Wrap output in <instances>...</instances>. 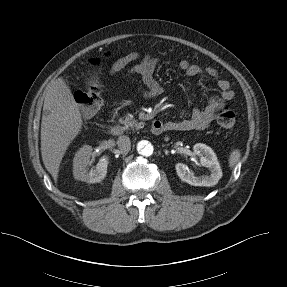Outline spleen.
Listing matches in <instances>:
<instances>
[{
  "label": "spleen",
  "mask_w": 287,
  "mask_h": 287,
  "mask_svg": "<svg viewBox=\"0 0 287 287\" xmlns=\"http://www.w3.org/2000/svg\"><path fill=\"white\" fill-rule=\"evenodd\" d=\"M241 153L239 149H235L230 153L229 156V167L234 168L236 164L240 161Z\"/></svg>",
  "instance_id": "obj_1"
}]
</instances>
